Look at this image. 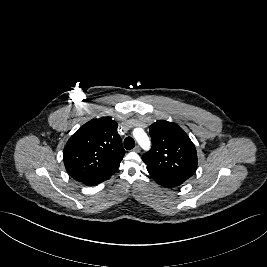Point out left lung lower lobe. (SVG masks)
<instances>
[{
  "mask_svg": "<svg viewBox=\"0 0 267 267\" xmlns=\"http://www.w3.org/2000/svg\"><path fill=\"white\" fill-rule=\"evenodd\" d=\"M150 176L154 179L156 183L164 187H176L181 185L184 181L181 179H176L172 177L163 176L152 171H149Z\"/></svg>",
  "mask_w": 267,
  "mask_h": 267,
  "instance_id": "obj_1",
  "label": "left lung lower lobe"
}]
</instances>
